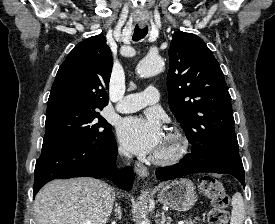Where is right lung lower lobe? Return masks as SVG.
Segmentation results:
<instances>
[{
    "label": "right lung lower lobe",
    "mask_w": 275,
    "mask_h": 224,
    "mask_svg": "<svg viewBox=\"0 0 275 224\" xmlns=\"http://www.w3.org/2000/svg\"><path fill=\"white\" fill-rule=\"evenodd\" d=\"M117 145L112 134L97 143L47 144L35 165L33 197L47 182L58 178L94 177L111 179L123 190H130L134 171L115 168Z\"/></svg>",
    "instance_id": "obj_1"
}]
</instances>
